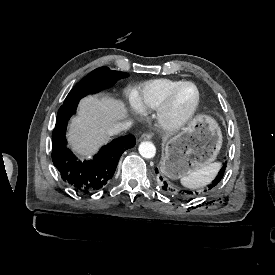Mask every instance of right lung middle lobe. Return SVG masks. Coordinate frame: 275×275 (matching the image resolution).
Here are the masks:
<instances>
[{"mask_svg":"<svg viewBox=\"0 0 275 275\" xmlns=\"http://www.w3.org/2000/svg\"><path fill=\"white\" fill-rule=\"evenodd\" d=\"M126 77H128V74L125 72L113 71L108 67L97 68L73 87L63 104L79 102L82 97L113 86L117 80Z\"/></svg>","mask_w":275,"mask_h":275,"instance_id":"1","label":"right lung middle lobe"}]
</instances>
